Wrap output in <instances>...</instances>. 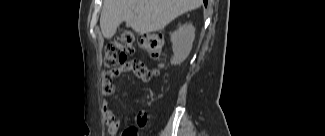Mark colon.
<instances>
[{
  "label": "colon",
  "mask_w": 325,
  "mask_h": 136,
  "mask_svg": "<svg viewBox=\"0 0 325 136\" xmlns=\"http://www.w3.org/2000/svg\"><path fill=\"white\" fill-rule=\"evenodd\" d=\"M139 45L150 57L158 60L164 47V38L159 33L144 34L139 37ZM134 49L135 35L130 31L123 32L107 44L104 54L105 65L111 67L123 64ZM122 136H138V131L135 127H128Z\"/></svg>",
  "instance_id": "1"
}]
</instances>
